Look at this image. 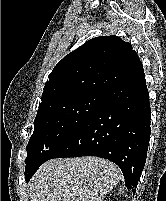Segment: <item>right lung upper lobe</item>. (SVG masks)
<instances>
[{
	"mask_svg": "<svg viewBox=\"0 0 166 201\" xmlns=\"http://www.w3.org/2000/svg\"><path fill=\"white\" fill-rule=\"evenodd\" d=\"M139 62L131 44L117 36L88 40L54 67L37 115L67 99L87 94L103 96Z\"/></svg>",
	"mask_w": 166,
	"mask_h": 201,
	"instance_id": "cb5924a9",
	"label": "right lung upper lobe"
}]
</instances>
